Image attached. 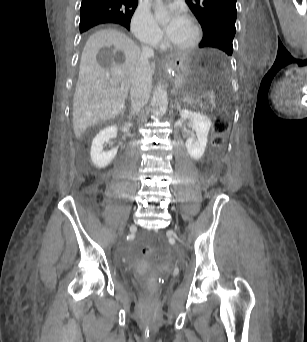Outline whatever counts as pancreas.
Instances as JSON below:
<instances>
[{
    "instance_id": "obj_1",
    "label": "pancreas",
    "mask_w": 307,
    "mask_h": 342,
    "mask_svg": "<svg viewBox=\"0 0 307 342\" xmlns=\"http://www.w3.org/2000/svg\"><path fill=\"white\" fill-rule=\"evenodd\" d=\"M196 101L199 103L201 100L198 98Z\"/></svg>"
}]
</instances>
